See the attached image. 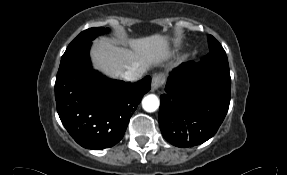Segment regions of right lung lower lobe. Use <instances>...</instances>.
Instances as JSON below:
<instances>
[{
	"mask_svg": "<svg viewBox=\"0 0 287 175\" xmlns=\"http://www.w3.org/2000/svg\"><path fill=\"white\" fill-rule=\"evenodd\" d=\"M90 42L62 56L55 82L57 112L82 147L92 150L118 143L151 78L131 83L112 80L92 70Z\"/></svg>",
	"mask_w": 287,
	"mask_h": 175,
	"instance_id": "obj_1",
	"label": "right lung lower lobe"
}]
</instances>
